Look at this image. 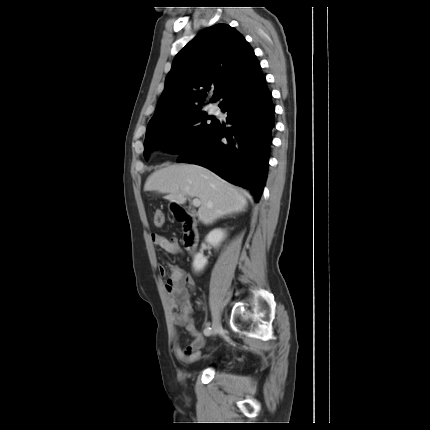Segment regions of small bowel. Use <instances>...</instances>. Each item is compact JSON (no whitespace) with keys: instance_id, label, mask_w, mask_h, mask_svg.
Returning a JSON list of instances; mask_svg holds the SVG:
<instances>
[{"instance_id":"obj_1","label":"small bowel","mask_w":430,"mask_h":430,"mask_svg":"<svg viewBox=\"0 0 430 430\" xmlns=\"http://www.w3.org/2000/svg\"><path fill=\"white\" fill-rule=\"evenodd\" d=\"M152 241L155 245L170 254H178L180 246L174 237L167 238L159 233L152 234ZM160 272L164 273V267L159 266ZM170 275L165 277L164 289L167 291L169 303L174 311L172 321L174 325L185 327L193 336V341L184 349L178 342V335L173 333L172 349L175 356L184 362H194L199 359L201 350L205 346V334L198 333L193 323V306L191 295L195 290V280L178 265H169ZM208 328V323L205 324ZM205 328V329H206ZM204 329V330H205Z\"/></svg>"}]
</instances>
